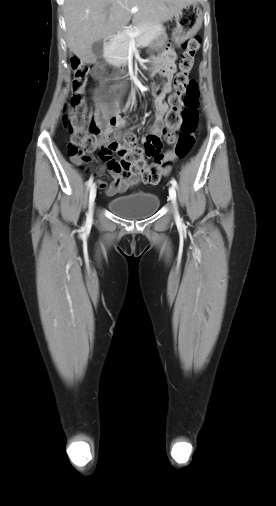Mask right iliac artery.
I'll use <instances>...</instances> for the list:
<instances>
[{"label":"right iliac artery","mask_w":276,"mask_h":506,"mask_svg":"<svg viewBox=\"0 0 276 506\" xmlns=\"http://www.w3.org/2000/svg\"><path fill=\"white\" fill-rule=\"evenodd\" d=\"M92 183H93V177H90V179L87 182L88 189L92 186Z\"/></svg>","instance_id":"1"}]
</instances>
